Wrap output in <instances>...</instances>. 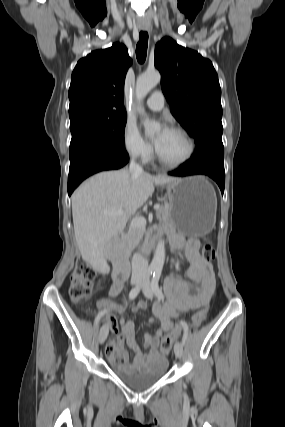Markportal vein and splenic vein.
Segmentation results:
<instances>
[{
    "instance_id": "1",
    "label": "portal vein and splenic vein",
    "mask_w": 285,
    "mask_h": 427,
    "mask_svg": "<svg viewBox=\"0 0 285 427\" xmlns=\"http://www.w3.org/2000/svg\"><path fill=\"white\" fill-rule=\"evenodd\" d=\"M160 208L159 204H155L154 205V209L158 210ZM123 214L122 210H117V211H111L108 212L107 215L114 217V216H121ZM146 225V219L144 217H135L131 220V226L134 227H140V226H145Z\"/></svg>"
}]
</instances>
